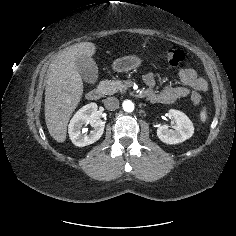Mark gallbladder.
<instances>
[{
	"mask_svg": "<svg viewBox=\"0 0 236 236\" xmlns=\"http://www.w3.org/2000/svg\"><path fill=\"white\" fill-rule=\"evenodd\" d=\"M76 68L82 79L94 84L98 79V67L93 58L82 55L76 59Z\"/></svg>",
	"mask_w": 236,
	"mask_h": 236,
	"instance_id": "1",
	"label": "gallbladder"
}]
</instances>
